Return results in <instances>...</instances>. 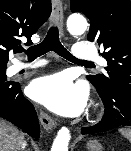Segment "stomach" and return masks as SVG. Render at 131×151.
Segmentation results:
<instances>
[{"label": "stomach", "mask_w": 131, "mask_h": 151, "mask_svg": "<svg viewBox=\"0 0 131 151\" xmlns=\"http://www.w3.org/2000/svg\"><path fill=\"white\" fill-rule=\"evenodd\" d=\"M88 151H102V145L96 140H90L87 142Z\"/></svg>", "instance_id": "1"}]
</instances>
